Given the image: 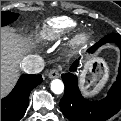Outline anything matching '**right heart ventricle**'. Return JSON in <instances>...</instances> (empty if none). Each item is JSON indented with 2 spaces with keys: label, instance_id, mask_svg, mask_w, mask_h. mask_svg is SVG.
I'll return each instance as SVG.
<instances>
[{
  "label": "right heart ventricle",
  "instance_id": "e07e8e85",
  "mask_svg": "<svg viewBox=\"0 0 121 121\" xmlns=\"http://www.w3.org/2000/svg\"><path fill=\"white\" fill-rule=\"evenodd\" d=\"M75 27L72 20L64 17H54L48 19L41 28V36L47 40L61 38Z\"/></svg>",
  "mask_w": 121,
  "mask_h": 121
}]
</instances>
